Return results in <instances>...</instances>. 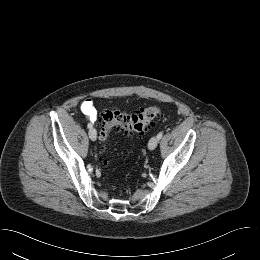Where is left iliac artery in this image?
<instances>
[{
  "label": "left iliac artery",
  "mask_w": 260,
  "mask_h": 260,
  "mask_svg": "<svg viewBox=\"0 0 260 260\" xmlns=\"http://www.w3.org/2000/svg\"><path fill=\"white\" fill-rule=\"evenodd\" d=\"M162 136H163V131L158 133V135H157L158 140H160L162 138Z\"/></svg>",
  "instance_id": "obj_1"
}]
</instances>
